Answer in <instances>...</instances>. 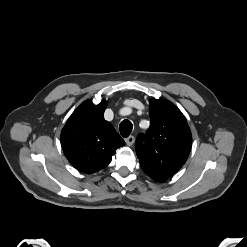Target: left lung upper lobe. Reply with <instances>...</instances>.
Returning a JSON list of instances; mask_svg holds the SVG:
<instances>
[{
  "instance_id": "left-lung-upper-lobe-1",
  "label": "left lung upper lobe",
  "mask_w": 247,
  "mask_h": 247,
  "mask_svg": "<svg viewBox=\"0 0 247 247\" xmlns=\"http://www.w3.org/2000/svg\"><path fill=\"white\" fill-rule=\"evenodd\" d=\"M150 127L136 140L141 168L153 180L163 182L186 162L192 146V135L185 117L170 101L150 100Z\"/></svg>"
}]
</instances>
